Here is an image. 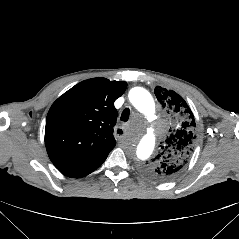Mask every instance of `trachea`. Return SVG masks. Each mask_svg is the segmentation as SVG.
<instances>
[{
    "instance_id": "trachea-1",
    "label": "trachea",
    "mask_w": 239,
    "mask_h": 239,
    "mask_svg": "<svg viewBox=\"0 0 239 239\" xmlns=\"http://www.w3.org/2000/svg\"><path fill=\"white\" fill-rule=\"evenodd\" d=\"M130 115V110L129 108H125L121 114L120 119L124 122L128 121Z\"/></svg>"
}]
</instances>
